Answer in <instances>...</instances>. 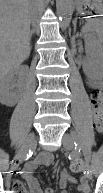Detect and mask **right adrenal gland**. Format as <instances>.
<instances>
[{"label": "right adrenal gland", "instance_id": "1", "mask_svg": "<svg viewBox=\"0 0 103 193\" xmlns=\"http://www.w3.org/2000/svg\"><path fill=\"white\" fill-rule=\"evenodd\" d=\"M34 29H32L31 31H30V40H31V37H32V35L34 34Z\"/></svg>", "mask_w": 103, "mask_h": 193}]
</instances>
